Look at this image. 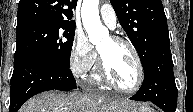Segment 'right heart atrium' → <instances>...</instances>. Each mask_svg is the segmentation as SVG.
<instances>
[{"instance_id":"1","label":"right heart atrium","mask_w":193,"mask_h":112,"mask_svg":"<svg viewBox=\"0 0 193 112\" xmlns=\"http://www.w3.org/2000/svg\"><path fill=\"white\" fill-rule=\"evenodd\" d=\"M95 63L96 53L92 45L83 33L77 32L74 35L69 54L71 71L76 76L84 77L90 73Z\"/></svg>"}]
</instances>
